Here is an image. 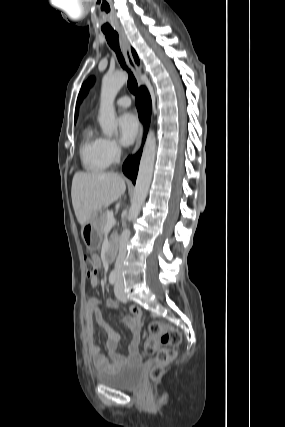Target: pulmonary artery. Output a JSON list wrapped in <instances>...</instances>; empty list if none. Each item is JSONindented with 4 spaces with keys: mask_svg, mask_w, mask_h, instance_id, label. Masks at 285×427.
Here are the masks:
<instances>
[{
    "mask_svg": "<svg viewBox=\"0 0 285 427\" xmlns=\"http://www.w3.org/2000/svg\"><path fill=\"white\" fill-rule=\"evenodd\" d=\"M116 105L121 108H127L131 105V100L128 96H122L117 99Z\"/></svg>",
    "mask_w": 285,
    "mask_h": 427,
    "instance_id": "e3ab8cb5",
    "label": "pulmonary artery"
}]
</instances>
